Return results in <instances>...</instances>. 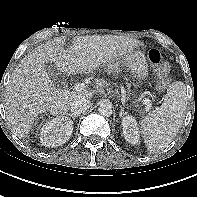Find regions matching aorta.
<instances>
[{
	"label": "aorta",
	"instance_id": "aorta-1",
	"mask_svg": "<svg viewBox=\"0 0 197 197\" xmlns=\"http://www.w3.org/2000/svg\"><path fill=\"white\" fill-rule=\"evenodd\" d=\"M98 111L102 116L109 117L113 113V105L111 102H102L98 107Z\"/></svg>",
	"mask_w": 197,
	"mask_h": 197
}]
</instances>
